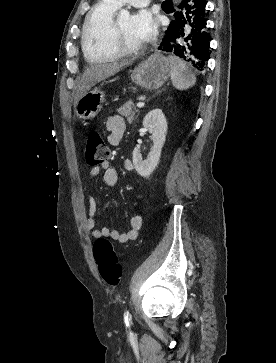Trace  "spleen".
Masks as SVG:
<instances>
[{"label": "spleen", "mask_w": 276, "mask_h": 363, "mask_svg": "<svg viewBox=\"0 0 276 363\" xmlns=\"http://www.w3.org/2000/svg\"><path fill=\"white\" fill-rule=\"evenodd\" d=\"M171 65V81L178 90H187L196 83V76L184 61L177 57H169Z\"/></svg>", "instance_id": "obj_1"}]
</instances>
